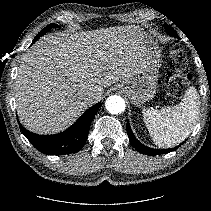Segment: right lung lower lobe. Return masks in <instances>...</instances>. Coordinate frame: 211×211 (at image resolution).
I'll return each instance as SVG.
<instances>
[{
	"mask_svg": "<svg viewBox=\"0 0 211 211\" xmlns=\"http://www.w3.org/2000/svg\"><path fill=\"white\" fill-rule=\"evenodd\" d=\"M100 107L101 103L95 104L85 111L70 128L55 135H38L32 133L26 130L20 123L19 127L29 142L43 154H71L79 151L84 146L92 119Z\"/></svg>",
	"mask_w": 211,
	"mask_h": 211,
	"instance_id": "1",
	"label": "right lung lower lobe"
}]
</instances>
